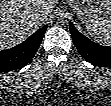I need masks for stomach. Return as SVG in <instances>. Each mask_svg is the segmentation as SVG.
<instances>
[{"instance_id": "0dacf381", "label": "stomach", "mask_w": 111, "mask_h": 106, "mask_svg": "<svg viewBox=\"0 0 111 106\" xmlns=\"http://www.w3.org/2000/svg\"><path fill=\"white\" fill-rule=\"evenodd\" d=\"M70 7L83 21L104 20L111 12L109 0H71Z\"/></svg>"}]
</instances>
